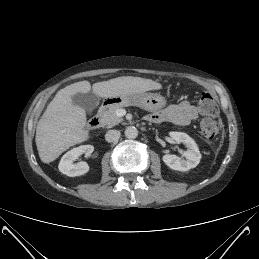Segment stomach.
<instances>
[{
    "label": "stomach",
    "mask_w": 259,
    "mask_h": 259,
    "mask_svg": "<svg viewBox=\"0 0 259 259\" xmlns=\"http://www.w3.org/2000/svg\"><path fill=\"white\" fill-rule=\"evenodd\" d=\"M106 106L135 105L147 111H158L165 107L166 99L158 93H137L108 97L104 100Z\"/></svg>",
    "instance_id": "1"
}]
</instances>
